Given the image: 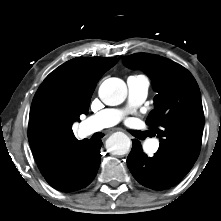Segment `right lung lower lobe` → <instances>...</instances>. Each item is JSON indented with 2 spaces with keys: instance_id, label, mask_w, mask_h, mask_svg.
<instances>
[{
  "instance_id": "obj_1",
  "label": "right lung lower lobe",
  "mask_w": 221,
  "mask_h": 221,
  "mask_svg": "<svg viewBox=\"0 0 221 221\" xmlns=\"http://www.w3.org/2000/svg\"><path fill=\"white\" fill-rule=\"evenodd\" d=\"M101 146V140L87 141L74 152L62 169L46 174V181L63 192H73L88 186L95 178L100 165Z\"/></svg>"
}]
</instances>
